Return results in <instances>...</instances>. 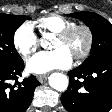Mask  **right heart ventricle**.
I'll use <instances>...</instances> for the list:
<instances>
[{"instance_id":"right-heart-ventricle-1","label":"right heart ventricle","mask_w":112,"mask_h":112,"mask_svg":"<svg viewBox=\"0 0 112 112\" xmlns=\"http://www.w3.org/2000/svg\"><path fill=\"white\" fill-rule=\"evenodd\" d=\"M34 24L42 31L57 34L66 28L75 25V22L58 14H50L38 18Z\"/></svg>"}]
</instances>
